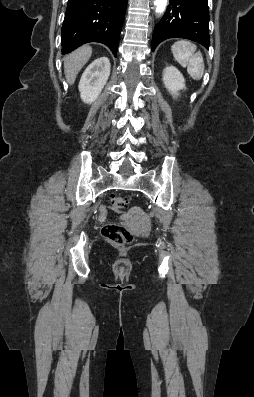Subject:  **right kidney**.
I'll list each match as a JSON object with an SVG mask.
<instances>
[{
    "instance_id": "1",
    "label": "right kidney",
    "mask_w": 254,
    "mask_h": 397,
    "mask_svg": "<svg viewBox=\"0 0 254 397\" xmlns=\"http://www.w3.org/2000/svg\"><path fill=\"white\" fill-rule=\"evenodd\" d=\"M110 75V61L107 57L95 59L84 71L79 82L83 102L91 104L101 93Z\"/></svg>"
}]
</instances>
